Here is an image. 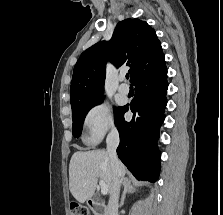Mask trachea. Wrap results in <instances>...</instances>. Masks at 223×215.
Segmentation results:
<instances>
[{
	"label": "trachea",
	"instance_id": "3493384b",
	"mask_svg": "<svg viewBox=\"0 0 223 215\" xmlns=\"http://www.w3.org/2000/svg\"><path fill=\"white\" fill-rule=\"evenodd\" d=\"M126 78H129V74L126 75Z\"/></svg>",
	"mask_w": 223,
	"mask_h": 215
}]
</instances>
